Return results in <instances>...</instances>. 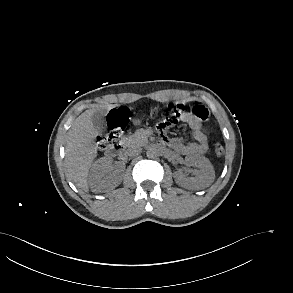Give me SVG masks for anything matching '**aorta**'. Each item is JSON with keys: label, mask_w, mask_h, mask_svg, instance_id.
<instances>
[{"label": "aorta", "mask_w": 293, "mask_h": 293, "mask_svg": "<svg viewBox=\"0 0 293 293\" xmlns=\"http://www.w3.org/2000/svg\"><path fill=\"white\" fill-rule=\"evenodd\" d=\"M146 155L148 158H156L158 156V151L154 147H150L147 149Z\"/></svg>", "instance_id": "obj_1"}]
</instances>
